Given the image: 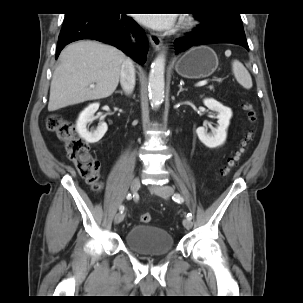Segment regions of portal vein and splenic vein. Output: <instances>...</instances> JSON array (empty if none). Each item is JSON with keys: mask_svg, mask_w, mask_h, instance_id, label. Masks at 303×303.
I'll return each mask as SVG.
<instances>
[{"mask_svg": "<svg viewBox=\"0 0 303 303\" xmlns=\"http://www.w3.org/2000/svg\"><path fill=\"white\" fill-rule=\"evenodd\" d=\"M208 82L206 81V80H204V81H200V82H198L197 83V85L196 86H198V87H200V86H204V85H206ZM90 87H95V85L94 84H91L90 85Z\"/></svg>", "mask_w": 303, "mask_h": 303, "instance_id": "1", "label": "portal vein and splenic vein"}]
</instances>
